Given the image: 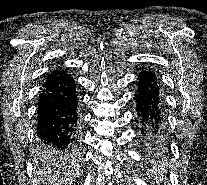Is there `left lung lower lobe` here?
I'll return each instance as SVG.
<instances>
[{
    "label": "left lung lower lobe",
    "instance_id": "obj_1",
    "mask_svg": "<svg viewBox=\"0 0 207 185\" xmlns=\"http://www.w3.org/2000/svg\"><path fill=\"white\" fill-rule=\"evenodd\" d=\"M138 89L135 93L137 115L141 123L143 145L153 153L164 147V116L161 105L159 85L156 75L151 71L140 72Z\"/></svg>",
    "mask_w": 207,
    "mask_h": 185
}]
</instances>
